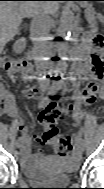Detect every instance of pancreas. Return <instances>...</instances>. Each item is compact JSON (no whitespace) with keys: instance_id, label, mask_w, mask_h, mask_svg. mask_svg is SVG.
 <instances>
[{"instance_id":"1","label":"pancreas","mask_w":104,"mask_h":189,"mask_svg":"<svg viewBox=\"0 0 104 189\" xmlns=\"http://www.w3.org/2000/svg\"><path fill=\"white\" fill-rule=\"evenodd\" d=\"M87 19L90 20V21H94V20H95V17H94V16H91V15H87Z\"/></svg>"}]
</instances>
